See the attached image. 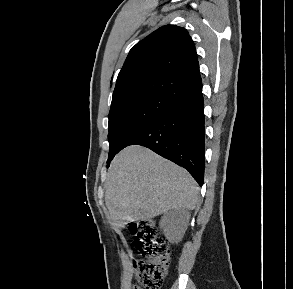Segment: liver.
<instances>
[{
	"label": "liver",
	"instance_id": "obj_1",
	"mask_svg": "<svg viewBox=\"0 0 293 289\" xmlns=\"http://www.w3.org/2000/svg\"><path fill=\"white\" fill-rule=\"evenodd\" d=\"M199 187L182 167L141 146L120 151L108 169L105 202L118 227L174 208L194 209Z\"/></svg>",
	"mask_w": 293,
	"mask_h": 289
}]
</instances>
